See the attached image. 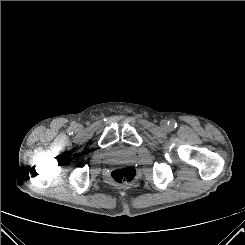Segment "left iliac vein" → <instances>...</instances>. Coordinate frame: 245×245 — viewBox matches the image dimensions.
Listing matches in <instances>:
<instances>
[{"mask_svg":"<svg viewBox=\"0 0 245 245\" xmlns=\"http://www.w3.org/2000/svg\"><path fill=\"white\" fill-rule=\"evenodd\" d=\"M161 126L163 127V128H166L167 127V122L164 120V121H162L161 122Z\"/></svg>","mask_w":245,"mask_h":245,"instance_id":"obj_1","label":"left iliac vein"}]
</instances>
